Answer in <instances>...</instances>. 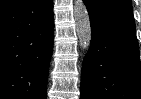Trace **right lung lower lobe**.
I'll list each match as a JSON object with an SVG mask.
<instances>
[{
    "instance_id": "right-lung-lower-lobe-1",
    "label": "right lung lower lobe",
    "mask_w": 141,
    "mask_h": 99,
    "mask_svg": "<svg viewBox=\"0 0 141 99\" xmlns=\"http://www.w3.org/2000/svg\"><path fill=\"white\" fill-rule=\"evenodd\" d=\"M53 39V0L0 9V99H46Z\"/></svg>"
}]
</instances>
